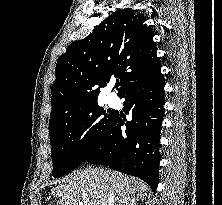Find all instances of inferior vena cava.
<instances>
[{
	"instance_id": "1",
	"label": "inferior vena cava",
	"mask_w": 222,
	"mask_h": 205,
	"mask_svg": "<svg viewBox=\"0 0 222 205\" xmlns=\"http://www.w3.org/2000/svg\"><path fill=\"white\" fill-rule=\"evenodd\" d=\"M115 195L114 192H110L106 201L103 202V205H114Z\"/></svg>"
}]
</instances>
